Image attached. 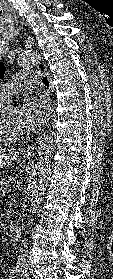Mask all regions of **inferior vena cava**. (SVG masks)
Returning a JSON list of instances; mask_svg holds the SVG:
<instances>
[{
    "mask_svg": "<svg viewBox=\"0 0 113 279\" xmlns=\"http://www.w3.org/2000/svg\"><path fill=\"white\" fill-rule=\"evenodd\" d=\"M27 256H28V244H27L26 239H24L21 244L20 252H19V255L17 258V263H16V266H17L19 272H21V274H25L27 272V269H28Z\"/></svg>",
    "mask_w": 113,
    "mask_h": 279,
    "instance_id": "inferior-vena-cava-1",
    "label": "inferior vena cava"
}]
</instances>
